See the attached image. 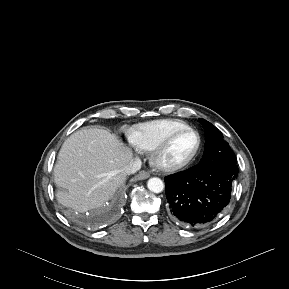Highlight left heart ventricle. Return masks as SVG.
Listing matches in <instances>:
<instances>
[{
  "label": "left heart ventricle",
  "instance_id": "1",
  "mask_svg": "<svg viewBox=\"0 0 289 289\" xmlns=\"http://www.w3.org/2000/svg\"><path fill=\"white\" fill-rule=\"evenodd\" d=\"M197 146V136L192 132L178 136L163 156L166 162H178L190 156Z\"/></svg>",
  "mask_w": 289,
  "mask_h": 289
}]
</instances>
